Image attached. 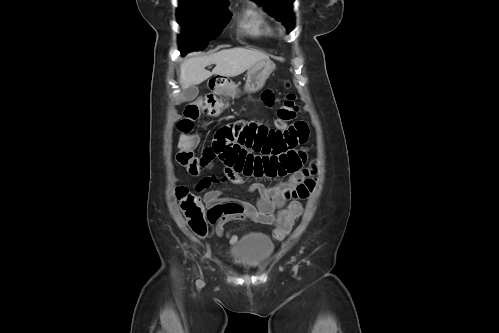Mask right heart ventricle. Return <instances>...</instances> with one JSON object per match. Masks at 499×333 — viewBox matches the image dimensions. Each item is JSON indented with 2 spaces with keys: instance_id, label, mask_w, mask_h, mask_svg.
<instances>
[{
  "instance_id": "right-heart-ventricle-1",
  "label": "right heart ventricle",
  "mask_w": 499,
  "mask_h": 333,
  "mask_svg": "<svg viewBox=\"0 0 499 333\" xmlns=\"http://www.w3.org/2000/svg\"><path fill=\"white\" fill-rule=\"evenodd\" d=\"M240 26L247 34L261 38L274 34V27L265 14L256 7L247 8L242 15Z\"/></svg>"
}]
</instances>
